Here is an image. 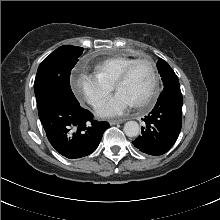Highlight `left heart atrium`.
<instances>
[{
  "label": "left heart atrium",
  "instance_id": "1",
  "mask_svg": "<svg viewBox=\"0 0 220 220\" xmlns=\"http://www.w3.org/2000/svg\"><path fill=\"white\" fill-rule=\"evenodd\" d=\"M133 105V102L124 93L117 92L114 97L102 104L96 113L100 117L116 116L124 113Z\"/></svg>",
  "mask_w": 220,
  "mask_h": 220
}]
</instances>
